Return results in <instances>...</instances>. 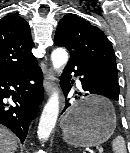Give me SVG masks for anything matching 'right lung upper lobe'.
Wrapping results in <instances>:
<instances>
[{
  "label": "right lung upper lobe",
  "instance_id": "1",
  "mask_svg": "<svg viewBox=\"0 0 130 153\" xmlns=\"http://www.w3.org/2000/svg\"><path fill=\"white\" fill-rule=\"evenodd\" d=\"M34 47L25 19L8 15L0 19V76L27 71L37 66Z\"/></svg>",
  "mask_w": 130,
  "mask_h": 153
}]
</instances>
